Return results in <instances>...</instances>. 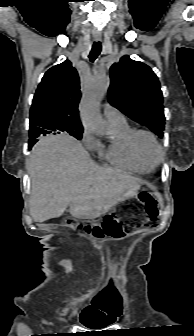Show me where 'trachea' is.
<instances>
[{"label": "trachea", "mask_w": 194, "mask_h": 336, "mask_svg": "<svg viewBox=\"0 0 194 336\" xmlns=\"http://www.w3.org/2000/svg\"><path fill=\"white\" fill-rule=\"evenodd\" d=\"M100 52H101V42H94L89 55L90 61L93 62L98 57Z\"/></svg>", "instance_id": "obj_1"}]
</instances>
